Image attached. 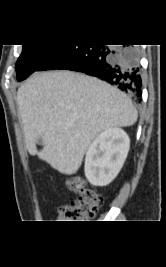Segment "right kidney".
I'll return each mask as SVG.
<instances>
[{
  "mask_svg": "<svg viewBox=\"0 0 166 267\" xmlns=\"http://www.w3.org/2000/svg\"><path fill=\"white\" fill-rule=\"evenodd\" d=\"M130 147V139L120 128L101 132L89 146L85 158V176L95 186L108 185L121 170Z\"/></svg>",
  "mask_w": 166,
  "mask_h": 267,
  "instance_id": "right-kidney-1",
  "label": "right kidney"
}]
</instances>
